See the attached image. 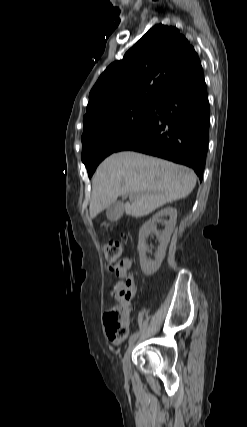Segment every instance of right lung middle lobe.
<instances>
[{
	"label": "right lung middle lobe",
	"instance_id": "dd1d6c3e",
	"mask_svg": "<svg viewBox=\"0 0 247 427\" xmlns=\"http://www.w3.org/2000/svg\"><path fill=\"white\" fill-rule=\"evenodd\" d=\"M151 105H136L94 123L82 134V162L89 178L98 164L138 134L153 118Z\"/></svg>",
	"mask_w": 247,
	"mask_h": 427
}]
</instances>
